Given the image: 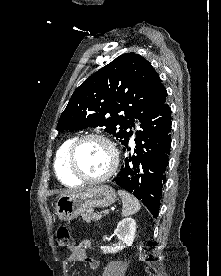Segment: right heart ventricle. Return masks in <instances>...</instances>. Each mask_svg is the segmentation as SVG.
Masks as SVG:
<instances>
[{"mask_svg":"<svg viewBox=\"0 0 221 276\" xmlns=\"http://www.w3.org/2000/svg\"><path fill=\"white\" fill-rule=\"evenodd\" d=\"M74 140L73 137L66 139L57 149L55 160H54V168L57 177L59 180L66 185H77L79 184V180L73 177L67 167V151Z\"/></svg>","mask_w":221,"mask_h":276,"instance_id":"e07e8e85","label":"right heart ventricle"}]
</instances>
